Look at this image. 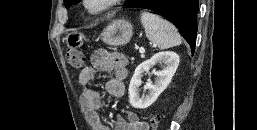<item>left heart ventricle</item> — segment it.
<instances>
[{
    "mask_svg": "<svg viewBox=\"0 0 257 130\" xmlns=\"http://www.w3.org/2000/svg\"><path fill=\"white\" fill-rule=\"evenodd\" d=\"M107 0H89V7L91 9L100 8Z\"/></svg>",
    "mask_w": 257,
    "mask_h": 130,
    "instance_id": "b2bd125f",
    "label": "left heart ventricle"
}]
</instances>
